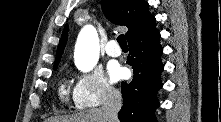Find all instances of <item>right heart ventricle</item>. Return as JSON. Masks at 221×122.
Masks as SVG:
<instances>
[{
  "instance_id": "right-heart-ventricle-1",
  "label": "right heart ventricle",
  "mask_w": 221,
  "mask_h": 122,
  "mask_svg": "<svg viewBox=\"0 0 221 122\" xmlns=\"http://www.w3.org/2000/svg\"><path fill=\"white\" fill-rule=\"evenodd\" d=\"M60 96H61L62 99H65L66 90H65V85L64 84H61V86H60Z\"/></svg>"
}]
</instances>
